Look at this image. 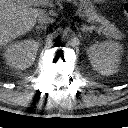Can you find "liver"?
Here are the masks:
<instances>
[{"label": "liver", "instance_id": "liver-1", "mask_svg": "<svg viewBox=\"0 0 128 128\" xmlns=\"http://www.w3.org/2000/svg\"><path fill=\"white\" fill-rule=\"evenodd\" d=\"M43 9L31 8L18 0H0V48L30 31Z\"/></svg>", "mask_w": 128, "mask_h": 128}]
</instances>
